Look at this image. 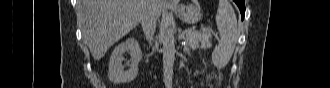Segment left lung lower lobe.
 Masks as SVG:
<instances>
[{"label": "left lung lower lobe", "mask_w": 330, "mask_h": 88, "mask_svg": "<svg viewBox=\"0 0 330 88\" xmlns=\"http://www.w3.org/2000/svg\"><path fill=\"white\" fill-rule=\"evenodd\" d=\"M234 2L238 5L240 12H241V16L242 19H244V15H245V0H234Z\"/></svg>", "instance_id": "left-lung-lower-lobe-1"}]
</instances>
